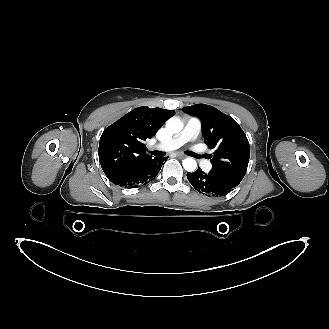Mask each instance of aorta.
<instances>
[{
	"instance_id": "aorta-1",
	"label": "aorta",
	"mask_w": 329,
	"mask_h": 329,
	"mask_svg": "<svg viewBox=\"0 0 329 329\" xmlns=\"http://www.w3.org/2000/svg\"><path fill=\"white\" fill-rule=\"evenodd\" d=\"M166 128L171 133H178L183 129V123L180 119L172 117L166 122ZM182 164L188 172H194L197 169V162L191 157L184 159Z\"/></svg>"
}]
</instances>
